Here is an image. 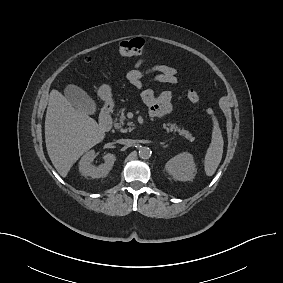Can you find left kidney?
Listing matches in <instances>:
<instances>
[{"label": "left kidney", "instance_id": "1", "mask_svg": "<svg viewBox=\"0 0 283 283\" xmlns=\"http://www.w3.org/2000/svg\"><path fill=\"white\" fill-rule=\"evenodd\" d=\"M167 172L179 181H191L196 175L193 156L188 152H183L171 158L165 165Z\"/></svg>", "mask_w": 283, "mask_h": 283}]
</instances>
